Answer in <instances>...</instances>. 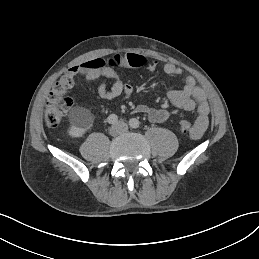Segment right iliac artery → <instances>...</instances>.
<instances>
[{"mask_svg":"<svg viewBox=\"0 0 259 259\" xmlns=\"http://www.w3.org/2000/svg\"><path fill=\"white\" fill-rule=\"evenodd\" d=\"M107 121H108L109 124H115L118 121V117L115 114H111L107 118Z\"/></svg>","mask_w":259,"mask_h":259,"instance_id":"right-iliac-artery-1","label":"right iliac artery"}]
</instances>
